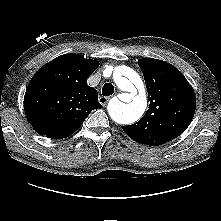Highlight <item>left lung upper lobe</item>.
Segmentation results:
<instances>
[{
	"instance_id": "5c2ea615",
	"label": "left lung upper lobe",
	"mask_w": 221,
	"mask_h": 221,
	"mask_svg": "<svg viewBox=\"0 0 221 221\" xmlns=\"http://www.w3.org/2000/svg\"><path fill=\"white\" fill-rule=\"evenodd\" d=\"M149 109L135 124L122 126L134 141L157 146L178 137L190 124L195 112V94L183 74L164 61L144 58L139 61Z\"/></svg>"
}]
</instances>
